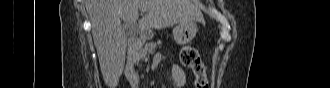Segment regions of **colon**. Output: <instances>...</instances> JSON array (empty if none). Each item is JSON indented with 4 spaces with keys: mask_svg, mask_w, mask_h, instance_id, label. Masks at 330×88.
Returning <instances> with one entry per match:
<instances>
[{
    "mask_svg": "<svg viewBox=\"0 0 330 88\" xmlns=\"http://www.w3.org/2000/svg\"><path fill=\"white\" fill-rule=\"evenodd\" d=\"M181 63L189 69L195 77L196 88H209L206 67L200 59L198 50L192 46H185L181 51Z\"/></svg>",
    "mask_w": 330,
    "mask_h": 88,
    "instance_id": "5ec220e1",
    "label": "colon"
}]
</instances>
